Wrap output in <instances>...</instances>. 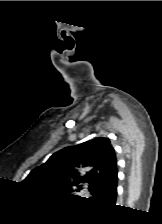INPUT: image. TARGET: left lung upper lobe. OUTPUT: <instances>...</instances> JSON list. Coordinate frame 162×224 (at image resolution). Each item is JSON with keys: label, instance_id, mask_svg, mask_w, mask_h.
Here are the masks:
<instances>
[{"label": "left lung upper lobe", "instance_id": "left-lung-upper-lobe-1", "mask_svg": "<svg viewBox=\"0 0 162 224\" xmlns=\"http://www.w3.org/2000/svg\"><path fill=\"white\" fill-rule=\"evenodd\" d=\"M115 171L117 160L109 139L95 138L54 153L46 163L33 169L23 182L72 196L85 183L89 184L92 193Z\"/></svg>", "mask_w": 162, "mask_h": 224}]
</instances>
